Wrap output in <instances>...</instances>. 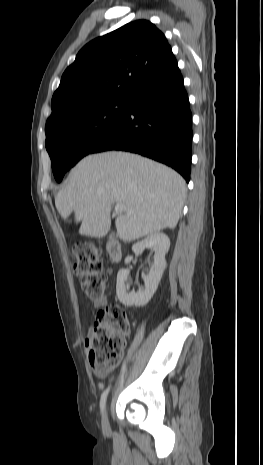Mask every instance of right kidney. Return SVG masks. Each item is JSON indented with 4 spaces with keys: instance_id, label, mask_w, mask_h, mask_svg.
<instances>
[{
    "instance_id": "right-kidney-1",
    "label": "right kidney",
    "mask_w": 263,
    "mask_h": 465,
    "mask_svg": "<svg viewBox=\"0 0 263 465\" xmlns=\"http://www.w3.org/2000/svg\"><path fill=\"white\" fill-rule=\"evenodd\" d=\"M169 246L170 240L168 236L160 232L149 235L132 246V251L136 255L141 254L146 248L153 249L155 251L154 264L148 276L144 277V288L139 289L138 292H129V286L125 284L129 275V270L122 269L118 272L116 294L123 305L127 307L133 305L143 306L153 297L166 268L165 255L169 250ZM132 259V256H127L125 258V264H129Z\"/></svg>"
}]
</instances>
